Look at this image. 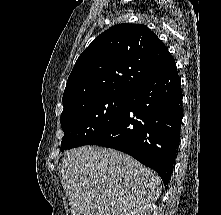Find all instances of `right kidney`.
<instances>
[{
	"label": "right kidney",
	"mask_w": 221,
	"mask_h": 215,
	"mask_svg": "<svg viewBox=\"0 0 221 215\" xmlns=\"http://www.w3.org/2000/svg\"><path fill=\"white\" fill-rule=\"evenodd\" d=\"M158 208L154 203L146 204L129 215H157Z\"/></svg>",
	"instance_id": "ca27d5eb"
}]
</instances>
